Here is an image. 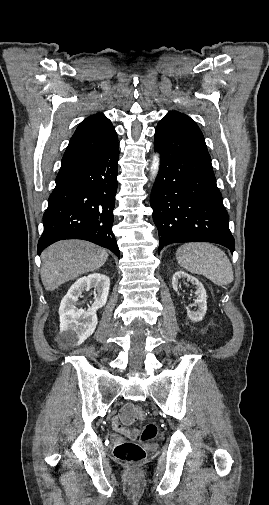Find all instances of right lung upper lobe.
I'll use <instances>...</instances> for the list:
<instances>
[{
    "label": "right lung upper lobe",
    "mask_w": 269,
    "mask_h": 505,
    "mask_svg": "<svg viewBox=\"0 0 269 505\" xmlns=\"http://www.w3.org/2000/svg\"><path fill=\"white\" fill-rule=\"evenodd\" d=\"M118 142L108 118L98 113L77 127L62 158L61 166L71 165L103 153Z\"/></svg>",
    "instance_id": "1"
}]
</instances>
